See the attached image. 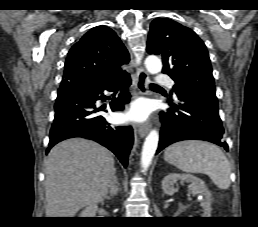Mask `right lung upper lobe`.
<instances>
[{
  "mask_svg": "<svg viewBox=\"0 0 258 227\" xmlns=\"http://www.w3.org/2000/svg\"><path fill=\"white\" fill-rule=\"evenodd\" d=\"M128 62L129 53L116 33L94 27L70 49L58 91L81 81L112 80L125 72L121 66Z\"/></svg>",
  "mask_w": 258,
  "mask_h": 227,
  "instance_id": "obj_1",
  "label": "right lung upper lobe"
}]
</instances>
